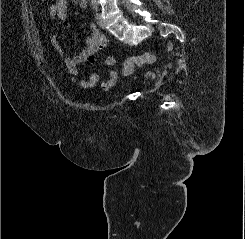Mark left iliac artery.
Listing matches in <instances>:
<instances>
[{
	"label": "left iliac artery",
	"instance_id": "obj_1",
	"mask_svg": "<svg viewBox=\"0 0 245 239\" xmlns=\"http://www.w3.org/2000/svg\"><path fill=\"white\" fill-rule=\"evenodd\" d=\"M92 8L93 10L97 11L98 9V3L96 0H91Z\"/></svg>",
	"mask_w": 245,
	"mask_h": 239
}]
</instances>
